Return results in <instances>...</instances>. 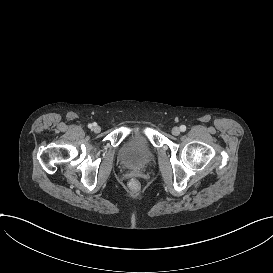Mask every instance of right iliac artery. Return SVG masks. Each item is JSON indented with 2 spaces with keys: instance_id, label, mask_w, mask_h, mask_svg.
Here are the masks:
<instances>
[{
  "instance_id": "1",
  "label": "right iliac artery",
  "mask_w": 273,
  "mask_h": 273,
  "mask_svg": "<svg viewBox=\"0 0 273 273\" xmlns=\"http://www.w3.org/2000/svg\"><path fill=\"white\" fill-rule=\"evenodd\" d=\"M97 125L96 123H93V124H88V128H92V126H95Z\"/></svg>"
}]
</instances>
